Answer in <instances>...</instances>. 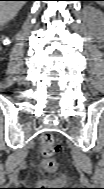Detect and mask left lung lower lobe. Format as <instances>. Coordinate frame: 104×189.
Returning <instances> with one entry per match:
<instances>
[{"label":"left lung lower lobe","mask_w":104,"mask_h":189,"mask_svg":"<svg viewBox=\"0 0 104 189\" xmlns=\"http://www.w3.org/2000/svg\"><path fill=\"white\" fill-rule=\"evenodd\" d=\"M79 1H101V0H79Z\"/></svg>","instance_id":"left-lung-lower-lobe-1"}]
</instances>
